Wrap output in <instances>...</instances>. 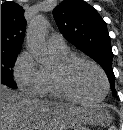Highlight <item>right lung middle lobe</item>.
<instances>
[{
    "instance_id": "1",
    "label": "right lung middle lobe",
    "mask_w": 123,
    "mask_h": 130,
    "mask_svg": "<svg viewBox=\"0 0 123 130\" xmlns=\"http://www.w3.org/2000/svg\"><path fill=\"white\" fill-rule=\"evenodd\" d=\"M18 53L19 51H1V84L11 88H17L13 80L12 67L14 66Z\"/></svg>"
}]
</instances>
